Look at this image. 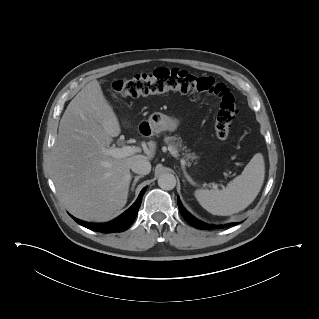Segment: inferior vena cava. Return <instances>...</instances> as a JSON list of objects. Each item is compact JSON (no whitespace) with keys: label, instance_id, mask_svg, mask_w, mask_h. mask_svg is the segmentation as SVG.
<instances>
[{"label":"inferior vena cava","instance_id":"1","mask_svg":"<svg viewBox=\"0 0 319 319\" xmlns=\"http://www.w3.org/2000/svg\"><path fill=\"white\" fill-rule=\"evenodd\" d=\"M130 168L136 174L147 175L151 171V164L148 160L140 158L133 161Z\"/></svg>","mask_w":319,"mask_h":319}]
</instances>
